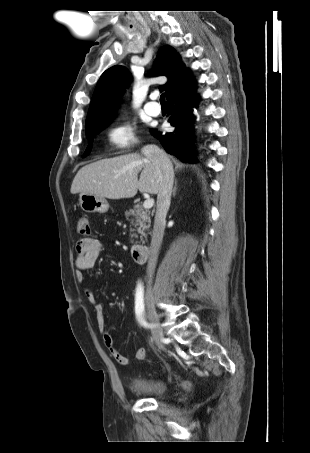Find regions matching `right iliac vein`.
<instances>
[{
	"label": "right iliac vein",
	"instance_id": "63e3f726",
	"mask_svg": "<svg viewBox=\"0 0 310 453\" xmlns=\"http://www.w3.org/2000/svg\"><path fill=\"white\" fill-rule=\"evenodd\" d=\"M145 304H146V315L148 320L154 325L152 330V336L156 343L161 347L163 344V333L161 329L158 327L159 319L154 307V300L151 287L147 288L145 294Z\"/></svg>",
	"mask_w": 310,
	"mask_h": 453
}]
</instances>
